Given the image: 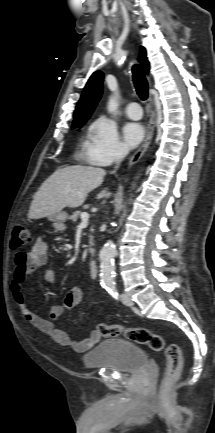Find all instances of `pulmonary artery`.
Returning <instances> with one entry per match:
<instances>
[{
    "instance_id": "pulmonary-artery-1",
    "label": "pulmonary artery",
    "mask_w": 215,
    "mask_h": 433,
    "mask_svg": "<svg viewBox=\"0 0 215 433\" xmlns=\"http://www.w3.org/2000/svg\"><path fill=\"white\" fill-rule=\"evenodd\" d=\"M126 113L131 119L138 120L142 117V109L139 103L131 102L127 105Z\"/></svg>"
}]
</instances>
